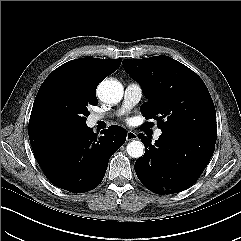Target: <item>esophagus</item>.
Returning <instances> with one entry per match:
<instances>
[{"label": "esophagus", "mask_w": 241, "mask_h": 241, "mask_svg": "<svg viewBox=\"0 0 241 241\" xmlns=\"http://www.w3.org/2000/svg\"><path fill=\"white\" fill-rule=\"evenodd\" d=\"M138 138L137 134L133 131H128L127 132V135H126V139L127 141H133V140H136Z\"/></svg>", "instance_id": "1"}]
</instances>
